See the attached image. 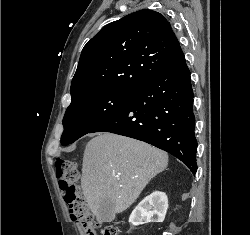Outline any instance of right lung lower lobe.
<instances>
[{
	"label": "right lung lower lobe",
	"mask_w": 250,
	"mask_h": 235,
	"mask_svg": "<svg viewBox=\"0 0 250 235\" xmlns=\"http://www.w3.org/2000/svg\"><path fill=\"white\" fill-rule=\"evenodd\" d=\"M193 90L183 51L177 46L169 64L140 84L129 100L93 132H111L152 144L197 171Z\"/></svg>",
	"instance_id": "right-lung-lower-lobe-1"
}]
</instances>
